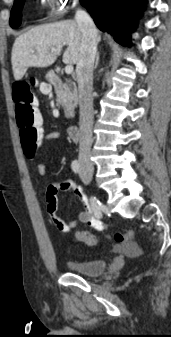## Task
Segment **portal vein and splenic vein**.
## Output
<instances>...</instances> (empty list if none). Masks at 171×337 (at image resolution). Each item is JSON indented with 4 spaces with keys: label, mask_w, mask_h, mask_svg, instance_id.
Wrapping results in <instances>:
<instances>
[{
    "label": "portal vein and splenic vein",
    "mask_w": 171,
    "mask_h": 337,
    "mask_svg": "<svg viewBox=\"0 0 171 337\" xmlns=\"http://www.w3.org/2000/svg\"><path fill=\"white\" fill-rule=\"evenodd\" d=\"M73 70H74L73 65H67L65 67L66 74H71L73 72Z\"/></svg>",
    "instance_id": "obj_1"
}]
</instances>
